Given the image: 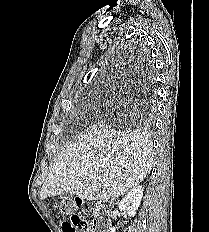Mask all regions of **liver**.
<instances>
[{
	"mask_svg": "<svg viewBox=\"0 0 209 232\" xmlns=\"http://www.w3.org/2000/svg\"><path fill=\"white\" fill-rule=\"evenodd\" d=\"M153 153L151 137L144 131H91L58 156L40 197L66 192L85 200H115L146 178Z\"/></svg>",
	"mask_w": 209,
	"mask_h": 232,
	"instance_id": "1",
	"label": "liver"
}]
</instances>
